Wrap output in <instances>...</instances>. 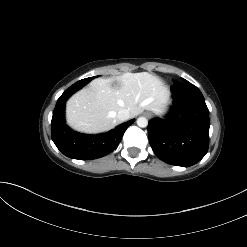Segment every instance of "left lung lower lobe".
Masks as SVG:
<instances>
[{"label":"left lung lower lobe","mask_w":247,"mask_h":247,"mask_svg":"<svg viewBox=\"0 0 247 247\" xmlns=\"http://www.w3.org/2000/svg\"><path fill=\"white\" fill-rule=\"evenodd\" d=\"M173 106L165 119H151L149 142L164 162L188 167L199 162L209 147V110L200 90L193 84L171 86Z\"/></svg>","instance_id":"0a47b994"}]
</instances>
